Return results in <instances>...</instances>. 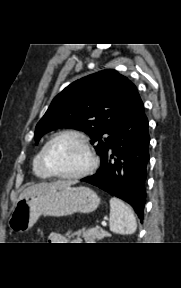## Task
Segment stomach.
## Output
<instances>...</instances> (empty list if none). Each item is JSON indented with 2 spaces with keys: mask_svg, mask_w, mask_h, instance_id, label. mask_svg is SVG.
Segmentation results:
<instances>
[{
  "mask_svg": "<svg viewBox=\"0 0 181 288\" xmlns=\"http://www.w3.org/2000/svg\"><path fill=\"white\" fill-rule=\"evenodd\" d=\"M99 202L97 194L88 187L53 186L41 193L19 199L8 225L13 231H28L41 215L62 217L76 212L91 213Z\"/></svg>",
  "mask_w": 181,
  "mask_h": 288,
  "instance_id": "0dacf381",
  "label": "stomach"
}]
</instances>
